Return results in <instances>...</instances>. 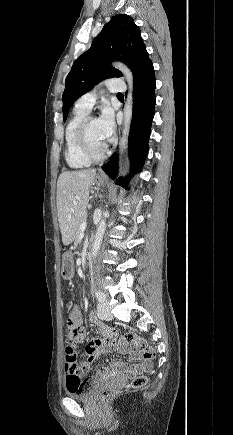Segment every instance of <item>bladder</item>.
<instances>
[{
    "label": "bladder",
    "instance_id": "bladder-1",
    "mask_svg": "<svg viewBox=\"0 0 233 435\" xmlns=\"http://www.w3.org/2000/svg\"><path fill=\"white\" fill-rule=\"evenodd\" d=\"M100 386V383H93L91 384L89 390L85 391V392H71V391H66L65 394L73 399L76 400H90L92 398H94V396L96 395V390L97 388Z\"/></svg>",
    "mask_w": 233,
    "mask_h": 435
}]
</instances>
